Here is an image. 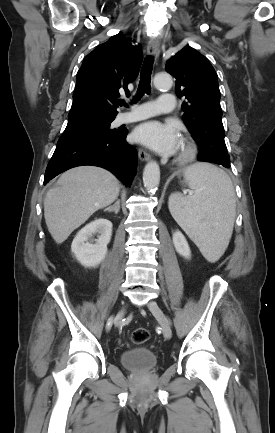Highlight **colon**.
<instances>
[{
	"instance_id": "1",
	"label": "colon",
	"mask_w": 275,
	"mask_h": 433,
	"mask_svg": "<svg viewBox=\"0 0 275 433\" xmlns=\"http://www.w3.org/2000/svg\"><path fill=\"white\" fill-rule=\"evenodd\" d=\"M150 333L145 328H137L133 331L131 340L135 345H141L148 341Z\"/></svg>"
}]
</instances>
